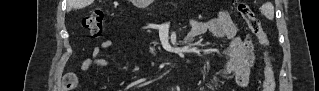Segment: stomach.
I'll return each instance as SVG.
<instances>
[{
    "instance_id": "0dacf381",
    "label": "stomach",
    "mask_w": 319,
    "mask_h": 91,
    "mask_svg": "<svg viewBox=\"0 0 319 91\" xmlns=\"http://www.w3.org/2000/svg\"><path fill=\"white\" fill-rule=\"evenodd\" d=\"M151 0H137L136 2L138 4H141V2H145L146 4H149Z\"/></svg>"
}]
</instances>
